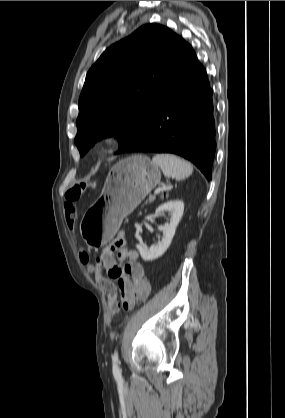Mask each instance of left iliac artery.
<instances>
[{
	"instance_id": "1",
	"label": "left iliac artery",
	"mask_w": 285,
	"mask_h": 418,
	"mask_svg": "<svg viewBox=\"0 0 285 418\" xmlns=\"http://www.w3.org/2000/svg\"><path fill=\"white\" fill-rule=\"evenodd\" d=\"M112 360H113V367H112L113 375H114L115 378L121 380V370H120V366H119L120 362H119L117 351L114 352Z\"/></svg>"
}]
</instances>
